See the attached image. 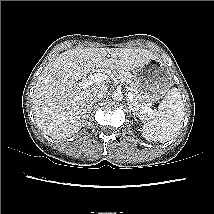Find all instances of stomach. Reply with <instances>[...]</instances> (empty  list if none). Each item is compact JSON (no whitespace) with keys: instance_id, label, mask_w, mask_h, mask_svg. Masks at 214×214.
I'll use <instances>...</instances> for the list:
<instances>
[{"instance_id":"0dacf381","label":"stomach","mask_w":214,"mask_h":214,"mask_svg":"<svg viewBox=\"0 0 214 214\" xmlns=\"http://www.w3.org/2000/svg\"><path fill=\"white\" fill-rule=\"evenodd\" d=\"M137 92L134 100L149 104L165 96L174 84L168 65L159 58L147 61L135 73Z\"/></svg>"}]
</instances>
